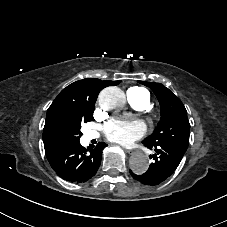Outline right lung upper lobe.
<instances>
[{"label":"right lung upper lobe","mask_w":227,"mask_h":227,"mask_svg":"<svg viewBox=\"0 0 227 227\" xmlns=\"http://www.w3.org/2000/svg\"><path fill=\"white\" fill-rule=\"evenodd\" d=\"M121 81H102L96 78H87L76 81L64 88L55 98L48 111H51L56 105L61 103H71L75 105H94L99 92L107 86L118 85ZM47 111V112H48ZM46 155L51 152L45 145Z\"/></svg>","instance_id":"cb5924a9"}]
</instances>
